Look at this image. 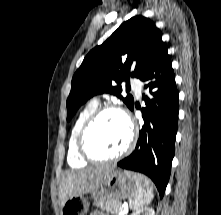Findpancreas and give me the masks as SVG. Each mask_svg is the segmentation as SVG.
<instances>
[{"label": "pancreas", "instance_id": "1", "mask_svg": "<svg viewBox=\"0 0 221 215\" xmlns=\"http://www.w3.org/2000/svg\"><path fill=\"white\" fill-rule=\"evenodd\" d=\"M94 205L98 206L101 210H106L111 214H118L123 210L120 200H106L101 202H96Z\"/></svg>", "mask_w": 221, "mask_h": 215}]
</instances>
